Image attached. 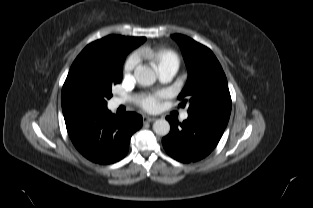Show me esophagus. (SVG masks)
Returning a JSON list of instances; mask_svg holds the SVG:
<instances>
[{
  "mask_svg": "<svg viewBox=\"0 0 313 208\" xmlns=\"http://www.w3.org/2000/svg\"><path fill=\"white\" fill-rule=\"evenodd\" d=\"M155 120H156L155 117H148V116H144V117H143V121H144V122H153V121H155Z\"/></svg>",
  "mask_w": 313,
  "mask_h": 208,
  "instance_id": "34e87169",
  "label": "esophagus"
}]
</instances>
